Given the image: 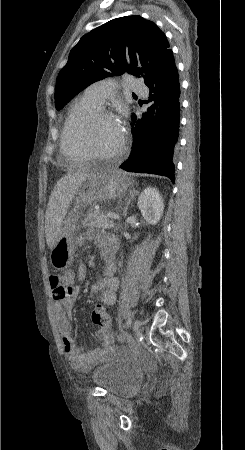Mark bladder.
Returning <instances> with one entry per match:
<instances>
[{"instance_id":"bladder-1","label":"bladder","mask_w":245,"mask_h":450,"mask_svg":"<svg viewBox=\"0 0 245 450\" xmlns=\"http://www.w3.org/2000/svg\"><path fill=\"white\" fill-rule=\"evenodd\" d=\"M140 372L128 359L104 363L96 367L90 381L118 396L130 395L140 383Z\"/></svg>"}]
</instances>
